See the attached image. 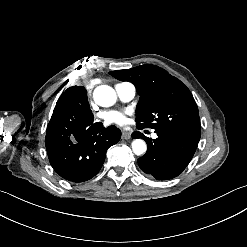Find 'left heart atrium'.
<instances>
[{"label":"left heart atrium","mask_w":247,"mask_h":247,"mask_svg":"<svg viewBox=\"0 0 247 247\" xmlns=\"http://www.w3.org/2000/svg\"><path fill=\"white\" fill-rule=\"evenodd\" d=\"M127 111L106 110L100 114L101 119L108 124L123 125L127 122Z\"/></svg>","instance_id":"39dd6f15"}]
</instances>
